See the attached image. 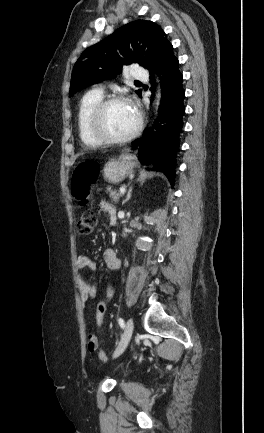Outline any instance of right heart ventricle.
Returning a JSON list of instances; mask_svg holds the SVG:
<instances>
[{
    "mask_svg": "<svg viewBox=\"0 0 264 433\" xmlns=\"http://www.w3.org/2000/svg\"><path fill=\"white\" fill-rule=\"evenodd\" d=\"M103 100V93L91 90L81 98L77 110V129L81 142L87 146H96L100 143L94 139L88 130V120L93 108Z\"/></svg>",
    "mask_w": 264,
    "mask_h": 433,
    "instance_id": "1",
    "label": "right heart ventricle"
}]
</instances>
